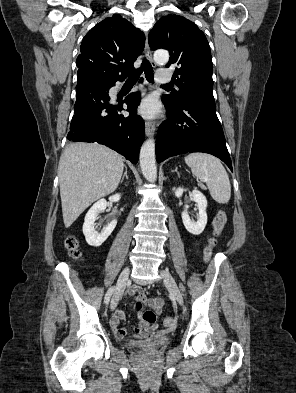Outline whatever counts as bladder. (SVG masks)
<instances>
[{"instance_id":"1","label":"bladder","mask_w":296,"mask_h":393,"mask_svg":"<svg viewBox=\"0 0 296 393\" xmlns=\"http://www.w3.org/2000/svg\"><path fill=\"white\" fill-rule=\"evenodd\" d=\"M171 343V337L159 334L149 340L130 342L129 345L134 348H151L157 349L167 346Z\"/></svg>"}]
</instances>
